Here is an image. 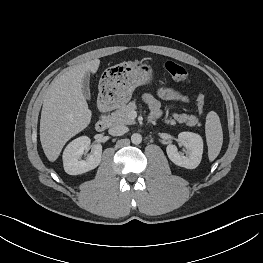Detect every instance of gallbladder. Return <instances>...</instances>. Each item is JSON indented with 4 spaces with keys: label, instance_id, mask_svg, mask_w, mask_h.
Here are the masks:
<instances>
[{
    "label": "gallbladder",
    "instance_id": "gallbladder-1",
    "mask_svg": "<svg viewBox=\"0 0 263 263\" xmlns=\"http://www.w3.org/2000/svg\"><path fill=\"white\" fill-rule=\"evenodd\" d=\"M89 81H90V74L86 73V75L84 76V79H83V83H82V92L88 100H90V98H91Z\"/></svg>",
    "mask_w": 263,
    "mask_h": 263
}]
</instances>
